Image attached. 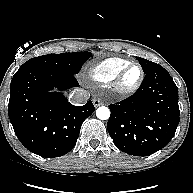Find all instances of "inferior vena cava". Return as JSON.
Returning <instances> with one entry per match:
<instances>
[{
    "mask_svg": "<svg viewBox=\"0 0 193 193\" xmlns=\"http://www.w3.org/2000/svg\"><path fill=\"white\" fill-rule=\"evenodd\" d=\"M90 98V93L84 89H75L69 96L70 103L73 105H81L86 103Z\"/></svg>",
    "mask_w": 193,
    "mask_h": 193,
    "instance_id": "602c4592",
    "label": "inferior vena cava"
}]
</instances>
